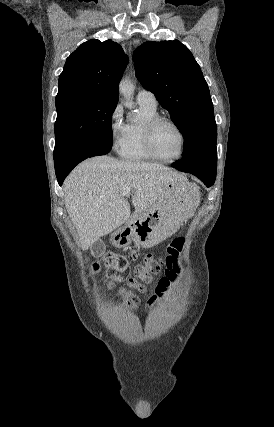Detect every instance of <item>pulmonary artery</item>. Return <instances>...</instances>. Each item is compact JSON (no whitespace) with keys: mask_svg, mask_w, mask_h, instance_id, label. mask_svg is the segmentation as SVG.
Masks as SVG:
<instances>
[{"mask_svg":"<svg viewBox=\"0 0 274 427\" xmlns=\"http://www.w3.org/2000/svg\"><path fill=\"white\" fill-rule=\"evenodd\" d=\"M136 101L139 106H143L151 109H157L158 103L154 94L147 90L139 91L136 96Z\"/></svg>","mask_w":274,"mask_h":427,"instance_id":"e3ab8cb5","label":"pulmonary artery"}]
</instances>
